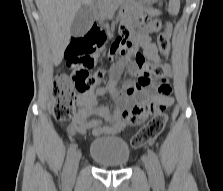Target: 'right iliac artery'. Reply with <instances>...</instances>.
<instances>
[{
  "label": "right iliac artery",
  "mask_w": 223,
  "mask_h": 191,
  "mask_svg": "<svg viewBox=\"0 0 223 191\" xmlns=\"http://www.w3.org/2000/svg\"><path fill=\"white\" fill-rule=\"evenodd\" d=\"M76 147H77L76 144H71L69 146V148H68L66 162H65V167H64V170H63V178L65 180H67L68 177H69L70 164H71L73 155H74V153L76 151Z\"/></svg>",
  "instance_id": "1"
}]
</instances>
